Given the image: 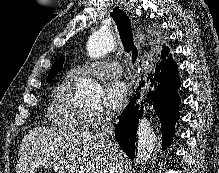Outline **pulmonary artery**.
Returning a JSON list of instances; mask_svg holds the SVG:
<instances>
[{"mask_svg": "<svg viewBox=\"0 0 219 173\" xmlns=\"http://www.w3.org/2000/svg\"><path fill=\"white\" fill-rule=\"evenodd\" d=\"M121 66L118 62L112 61H95L71 69L67 73V78L77 81L83 77H96L100 79H109L118 77L121 74Z\"/></svg>", "mask_w": 219, "mask_h": 173, "instance_id": "pulmonary-artery-1", "label": "pulmonary artery"}]
</instances>
